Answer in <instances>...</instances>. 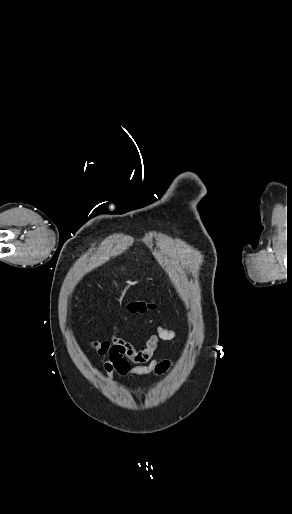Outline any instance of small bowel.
Returning a JSON list of instances; mask_svg holds the SVG:
<instances>
[{
	"label": "small bowel",
	"instance_id": "c3829d8e",
	"mask_svg": "<svg viewBox=\"0 0 292 514\" xmlns=\"http://www.w3.org/2000/svg\"><path fill=\"white\" fill-rule=\"evenodd\" d=\"M126 318L115 322L109 336L102 341H90L89 346L101 356H107L103 363L106 380L114 382L113 373L117 372L122 377L133 378L135 376H162L166 374L172 362L169 359H157L154 353L160 341H171L178 335L174 329L158 326L156 332L149 334L146 327L140 324L141 329L148 336L145 347L136 349L129 341L119 336V327Z\"/></svg>",
	"mask_w": 292,
	"mask_h": 514
}]
</instances>
